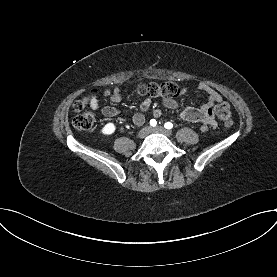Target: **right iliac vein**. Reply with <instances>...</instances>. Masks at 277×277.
Returning a JSON list of instances; mask_svg holds the SVG:
<instances>
[{
	"instance_id": "63e3f726",
	"label": "right iliac vein",
	"mask_w": 277,
	"mask_h": 277,
	"mask_svg": "<svg viewBox=\"0 0 277 277\" xmlns=\"http://www.w3.org/2000/svg\"><path fill=\"white\" fill-rule=\"evenodd\" d=\"M150 133V128L149 127H144L142 128L139 133H138V137L143 139L145 138L148 134Z\"/></svg>"
}]
</instances>
